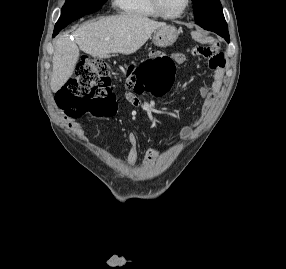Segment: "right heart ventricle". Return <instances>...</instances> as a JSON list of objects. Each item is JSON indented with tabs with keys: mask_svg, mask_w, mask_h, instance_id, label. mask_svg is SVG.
Segmentation results:
<instances>
[{
	"mask_svg": "<svg viewBox=\"0 0 286 269\" xmlns=\"http://www.w3.org/2000/svg\"><path fill=\"white\" fill-rule=\"evenodd\" d=\"M117 10L130 17L135 18H157L160 17L152 7L150 0H114Z\"/></svg>",
	"mask_w": 286,
	"mask_h": 269,
	"instance_id": "right-heart-ventricle-1",
	"label": "right heart ventricle"
}]
</instances>
